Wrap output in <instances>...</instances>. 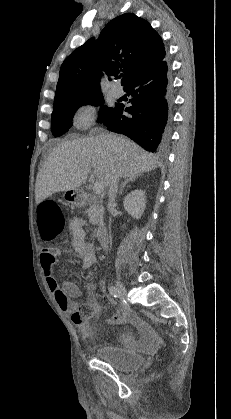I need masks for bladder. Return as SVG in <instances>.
Returning <instances> with one entry per match:
<instances>
[{"instance_id": "31cf9c89", "label": "bladder", "mask_w": 231, "mask_h": 419, "mask_svg": "<svg viewBox=\"0 0 231 419\" xmlns=\"http://www.w3.org/2000/svg\"><path fill=\"white\" fill-rule=\"evenodd\" d=\"M95 358L109 364L118 371H130L141 367L144 356L129 352L112 344H102L95 351Z\"/></svg>"}]
</instances>
